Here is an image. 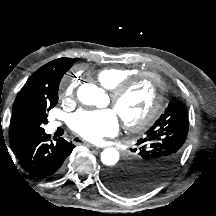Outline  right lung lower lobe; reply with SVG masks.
Listing matches in <instances>:
<instances>
[{"label":"right lung lower lobe","instance_id":"obj_1","mask_svg":"<svg viewBox=\"0 0 216 216\" xmlns=\"http://www.w3.org/2000/svg\"><path fill=\"white\" fill-rule=\"evenodd\" d=\"M45 131L26 135L17 148L12 149L21 167L38 179H52L59 175L75 146L63 138L55 139Z\"/></svg>","mask_w":216,"mask_h":216}]
</instances>
